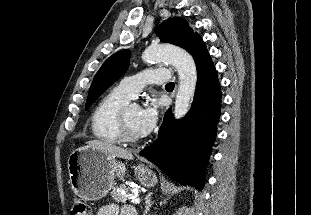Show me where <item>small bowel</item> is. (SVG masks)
I'll use <instances>...</instances> for the list:
<instances>
[{"label": "small bowel", "mask_w": 311, "mask_h": 215, "mask_svg": "<svg viewBox=\"0 0 311 215\" xmlns=\"http://www.w3.org/2000/svg\"><path fill=\"white\" fill-rule=\"evenodd\" d=\"M135 211L128 206L119 207L117 204L112 203L102 206L97 215H132Z\"/></svg>", "instance_id": "1"}]
</instances>
